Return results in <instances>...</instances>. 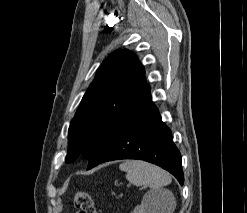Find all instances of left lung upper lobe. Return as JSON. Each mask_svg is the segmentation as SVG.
I'll return each mask as SVG.
<instances>
[{"mask_svg":"<svg viewBox=\"0 0 247 213\" xmlns=\"http://www.w3.org/2000/svg\"><path fill=\"white\" fill-rule=\"evenodd\" d=\"M145 71L128 50L111 53L83 96L68 131L66 163L88 159L103 134L142 93Z\"/></svg>","mask_w":247,"mask_h":213,"instance_id":"obj_1","label":"left lung upper lobe"}]
</instances>
